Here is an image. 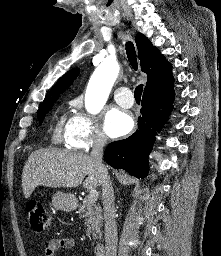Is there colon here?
Wrapping results in <instances>:
<instances>
[{
  "label": "colon",
  "mask_w": 221,
  "mask_h": 256,
  "mask_svg": "<svg viewBox=\"0 0 221 256\" xmlns=\"http://www.w3.org/2000/svg\"><path fill=\"white\" fill-rule=\"evenodd\" d=\"M30 227L35 232H42L49 228L51 216L40 201L31 200L27 204Z\"/></svg>",
  "instance_id": "obj_1"
}]
</instances>
